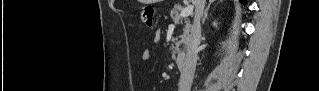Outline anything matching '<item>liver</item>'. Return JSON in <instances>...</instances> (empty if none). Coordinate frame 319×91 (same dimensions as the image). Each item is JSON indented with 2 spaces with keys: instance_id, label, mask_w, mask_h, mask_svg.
Returning a JSON list of instances; mask_svg holds the SVG:
<instances>
[{
  "instance_id": "liver-1",
  "label": "liver",
  "mask_w": 319,
  "mask_h": 91,
  "mask_svg": "<svg viewBox=\"0 0 319 91\" xmlns=\"http://www.w3.org/2000/svg\"><path fill=\"white\" fill-rule=\"evenodd\" d=\"M195 1H196V0H192V3L195 4Z\"/></svg>"
}]
</instances>
